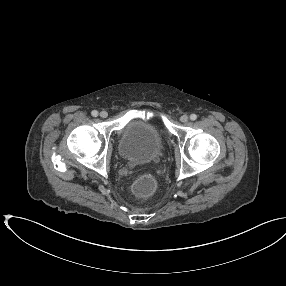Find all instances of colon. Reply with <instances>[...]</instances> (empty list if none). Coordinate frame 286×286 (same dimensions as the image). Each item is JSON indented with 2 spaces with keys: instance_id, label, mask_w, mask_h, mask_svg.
<instances>
[{
  "instance_id": "5ec220e1",
  "label": "colon",
  "mask_w": 286,
  "mask_h": 286,
  "mask_svg": "<svg viewBox=\"0 0 286 286\" xmlns=\"http://www.w3.org/2000/svg\"><path fill=\"white\" fill-rule=\"evenodd\" d=\"M156 182L152 175L141 176L133 185V192L140 197H148L154 193Z\"/></svg>"
}]
</instances>
